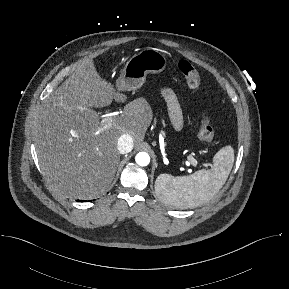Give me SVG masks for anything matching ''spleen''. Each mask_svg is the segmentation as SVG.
<instances>
[{"instance_id":"obj_1","label":"spleen","mask_w":289,"mask_h":289,"mask_svg":"<svg viewBox=\"0 0 289 289\" xmlns=\"http://www.w3.org/2000/svg\"><path fill=\"white\" fill-rule=\"evenodd\" d=\"M234 163V149L228 145L213 157V167L191 176L160 174L155 192L165 203L178 208H194L210 201L225 184Z\"/></svg>"}]
</instances>
